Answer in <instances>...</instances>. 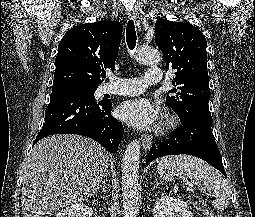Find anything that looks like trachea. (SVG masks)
Returning <instances> with one entry per match:
<instances>
[{
	"label": "trachea",
	"mask_w": 255,
	"mask_h": 217,
	"mask_svg": "<svg viewBox=\"0 0 255 217\" xmlns=\"http://www.w3.org/2000/svg\"><path fill=\"white\" fill-rule=\"evenodd\" d=\"M126 40H127V45L130 50H133L135 45H136V31H135V25L133 20H129L127 23V28H126Z\"/></svg>",
	"instance_id": "1"
}]
</instances>
